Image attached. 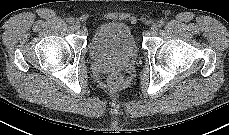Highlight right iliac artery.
<instances>
[{
  "label": "right iliac artery",
  "mask_w": 229,
  "mask_h": 135,
  "mask_svg": "<svg viewBox=\"0 0 229 135\" xmlns=\"http://www.w3.org/2000/svg\"><path fill=\"white\" fill-rule=\"evenodd\" d=\"M67 22H68L69 24H73V23H74V18H72V17L68 18V19H67Z\"/></svg>",
  "instance_id": "1"
}]
</instances>
